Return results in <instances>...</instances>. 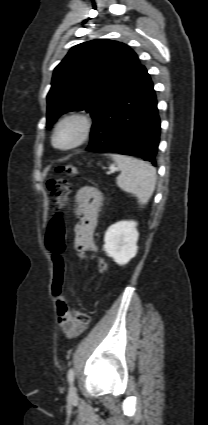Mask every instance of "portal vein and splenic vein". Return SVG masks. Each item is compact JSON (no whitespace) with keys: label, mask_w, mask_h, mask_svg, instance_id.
<instances>
[{"label":"portal vein and splenic vein","mask_w":208,"mask_h":425,"mask_svg":"<svg viewBox=\"0 0 208 425\" xmlns=\"http://www.w3.org/2000/svg\"><path fill=\"white\" fill-rule=\"evenodd\" d=\"M112 173H114V170H111V171L108 172V174H112Z\"/></svg>","instance_id":"1"}]
</instances>
